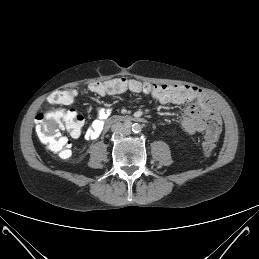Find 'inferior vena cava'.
Wrapping results in <instances>:
<instances>
[{
	"instance_id": "602c4592",
	"label": "inferior vena cava",
	"mask_w": 259,
	"mask_h": 259,
	"mask_svg": "<svg viewBox=\"0 0 259 259\" xmlns=\"http://www.w3.org/2000/svg\"><path fill=\"white\" fill-rule=\"evenodd\" d=\"M112 132L127 135L129 130H127L122 123H115L111 127Z\"/></svg>"
}]
</instances>
